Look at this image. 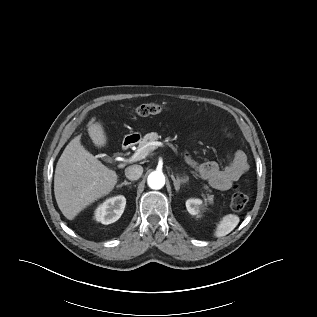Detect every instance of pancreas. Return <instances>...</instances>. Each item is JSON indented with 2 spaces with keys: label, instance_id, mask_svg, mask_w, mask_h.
Returning a JSON list of instances; mask_svg holds the SVG:
<instances>
[{
  "label": "pancreas",
  "instance_id": "1",
  "mask_svg": "<svg viewBox=\"0 0 317 317\" xmlns=\"http://www.w3.org/2000/svg\"><path fill=\"white\" fill-rule=\"evenodd\" d=\"M160 138V136L156 133V132H151V133H148L146 134L142 141L139 142V146H138V149L144 147L145 145H147L149 142H154V141H157L158 139ZM151 151H153L150 147H148L146 149V152L147 153H150ZM204 188L209 191V187L208 186H204ZM210 204L213 203V197L210 195H208V198L206 199Z\"/></svg>",
  "mask_w": 317,
  "mask_h": 317
}]
</instances>
